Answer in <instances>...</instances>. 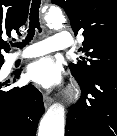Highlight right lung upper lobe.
<instances>
[{"mask_svg":"<svg viewBox=\"0 0 117 136\" xmlns=\"http://www.w3.org/2000/svg\"><path fill=\"white\" fill-rule=\"evenodd\" d=\"M30 0H0V60H3L1 50L9 51V45L2 39L4 35H10L11 31H17L25 24Z\"/></svg>","mask_w":117,"mask_h":136,"instance_id":"right-lung-upper-lobe-1","label":"right lung upper lobe"}]
</instances>
